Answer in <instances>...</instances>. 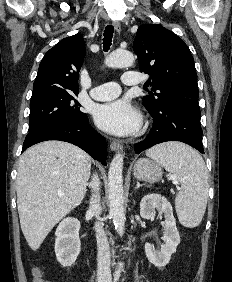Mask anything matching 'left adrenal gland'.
Listing matches in <instances>:
<instances>
[{
  "instance_id": "1",
  "label": "left adrenal gland",
  "mask_w": 232,
  "mask_h": 282,
  "mask_svg": "<svg viewBox=\"0 0 232 282\" xmlns=\"http://www.w3.org/2000/svg\"><path fill=\"white\" fill-rule=\"evenodd\" d=\"M141 186H143L142 184H140L138 181H137V183H136V187H135V190L136 189H138L139 187H141ZM144 186H145V184H144Z\"/></svg>"
}]
</instances>
